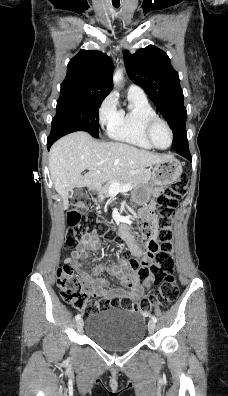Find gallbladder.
<instances>
[{
	"mask_svg": "<svg viewBox=\"0 0 228 396\" xmlns=\"http://www.w3.org/2000/svg\"><path fill=\"white\" fill-rule=\"evenodd\" d=\"M70 193L73 194V190H70Z\"/></svg>",
	"mask_w": 228,
	"mask_h": 396,
	"instance_id": "1",
	"label": "gallbladder"
}]
</instances>
